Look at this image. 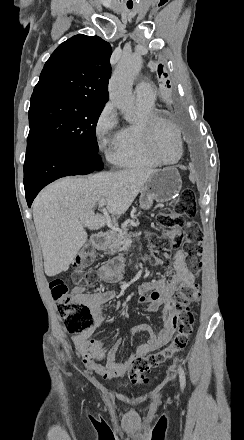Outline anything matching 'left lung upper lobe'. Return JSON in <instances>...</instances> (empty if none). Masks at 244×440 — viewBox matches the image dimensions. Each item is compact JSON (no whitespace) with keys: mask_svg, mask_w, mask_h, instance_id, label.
I'll return each instance as SVG.
<instances>
[{"mask_svg":"<svg viewBox=\"0 0 244 440\" xmlns=\"http://www.w3.org/2000/svg\"><path fill=\"white\" fill-rule=\"evenodd\" d=\"M158 74H159V76L164 75L165 77H167V74H166V73H163L162 65H159V66H158ZM169 82H170V81L167 80V82H166L167 87H170Z\"/></svg>","mask_w":244,"mask_h":440,"instance_id":"5c2ea615","label":"left lung upper lobe"}]
</instances>
